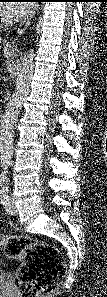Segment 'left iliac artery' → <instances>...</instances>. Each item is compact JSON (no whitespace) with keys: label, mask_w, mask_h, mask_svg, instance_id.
I'll use <instances>...</instances> for the list:
<instances>
[{"label":"left iliac artery","mask_w":107,"mask_h":297,"mask_svg":"<svg viewBox=\"0 0 107 297\" xmlns=\"http://www.w3.org/2000/svg\"><path fill=\"white\" fill-rule=\"evenodd\" d=\"M0 200L1 203L3 205H5L7 203V201L9 200V196H8V190H5L4 188L2 190H0Z\"/></svg>","instance_id":"left-iliac-artery-1"}]
</instances>
